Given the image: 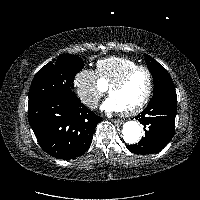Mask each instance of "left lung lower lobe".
Masks as SVG:
<instances>
[{
  "label": "left lung lower lobe",
  "instance_id": "obj_1",
  "mask_svg": "<svg viewBox=\"0 0 200 200\" xmlns=\"http://www.w3.org/2000/svg\"><path fill=\"white\" fill-rule=\"evenodd\" d=\"M177 112L176 91H161L154 94L141 115L145 137L138 144L127 146L136 154H152L164 148L174 136Z\"/></svg>",
  "mask_w": 200,
  "mask_h": 200
}]
</instances>
